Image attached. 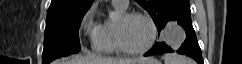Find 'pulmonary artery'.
<instances>
[{
    "label": "pulmonary artery",
    "instance_id": "obj_1",
    "mask_svg": "<svg viewBox=\"0 0 242 64\" xmlns=\"http://www.w3.org/2000/svg\"><path fill=\"white\" fill-rule=\"evenodd\" d=\"M112 4L122 10H126L128 7V0H113Z\"/></svg>",
    "mask_w": 242,
    "mask_h": 64
}]
</instances>
